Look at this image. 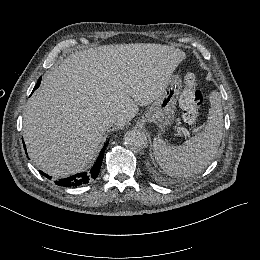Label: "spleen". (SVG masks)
I'll list each match as a JSON object with an SVG mask.
<instances>
[{
    "instance_id": "3e777b00",
    "label": "spleen",
    "mask_w": 260,
    "mask_h": 260,
    "mask_svg": "<svg viewBox=\"0 0 260 260\" xmlns=\"http://www.w3.org/2000/svg\"><path fill=\"white\" fill-rule=\"evenodd\" d=\"M209 103L204 129L189 137L181 146H171L160 137L154 138V158L166 174L188 177L205 169L213 159L223 129L222 98L218 91H211Z\"/></svg>"
}]
</instances>
